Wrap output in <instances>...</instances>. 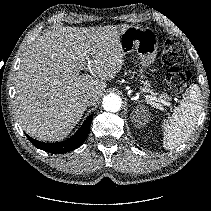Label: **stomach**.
<instances>
[{
  "mask_svg": "<svg viewBox=\"0 0 211 211\" xmlns=\"http://www.w3.org/2000/svg\"><path fill=\"white\" fill-rule=\"evenodd\" d=\"M119 46L124 54L132 51L138 53L142 73L154 63L158 41L151 29L129 26L120 35Z\"/></svg>",
  "mask_w": 211,
  "mask_h": 211,
  "instance_id": "0dacf381",
  "label": "stomach"
}]
</instances>
